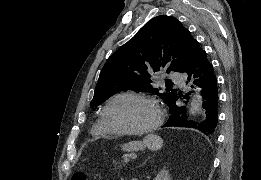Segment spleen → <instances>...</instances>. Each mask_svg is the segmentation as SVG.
<instances>
[{
	"instance_id": "obj_1",
	"label": "spleen",
	"mask_w": 261,
	"mask_h": 180,
	"mask_svg": "<svg viewBox=\"0 0 261 180\" xmlns=\"http://www.w3.org/2000/svg\"><path fill=\"white\" fill-rule=\"evenodd\" d=\"M156 142V140H159L160 142V146H162V140H160V138H158V136H153V134H149V136H146L144 142Z\"/></svg>"
}]
</instances>
